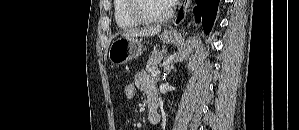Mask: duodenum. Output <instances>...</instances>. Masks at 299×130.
<instances>
[{
  "instance_id": "410a0bca",
  "label": "duodenum",
  "mask_w": 299,
  "mask_h": 130,
  "mask_svg": "<svg viewBox=\"0 0 299 130\" xmlns=\"http://www.w3.org/2000/svg\"><path fill=\"white\" fill-rule=\"evenodd\" d=\"M147 109L149 113V118L150 119H155L159 117V105H158V100L155 95H148L147 97Z\"/></svg>"
}]
</instances>
